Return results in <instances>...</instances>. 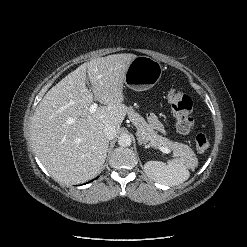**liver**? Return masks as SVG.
I'll list each match as a JSON object with an SVG mask.
<instances>
[{
    "instance_id": "obj_1",
    "label": "liver",
    "mask_w": 247,
    "mask_h": 247,
    "mask_svg": "<svg viewBox=\"0 0 247 247\" xmlns=\"http://www.w3.org/2000/svg\"><path fill=\"white\" fill-rule=\"evenodd\" d=\"M134 54H113L82 64L53 86L37 106L31 124L36 156L53 178L78 184L102 169L109 141L107 125L119 131L128 110L123 83ZM86 73L92 85L86 83ZM94 100L103 106L90 113Z\"/></svg>"
}]
</instances>
